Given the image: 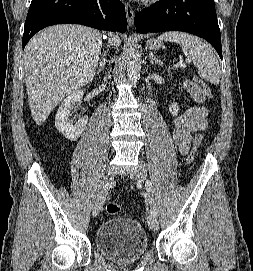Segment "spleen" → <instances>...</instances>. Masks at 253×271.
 I'll use <instances>...</instances> for the list:
<instances>
[{"label": "spleen", "mask_w": 253, "mask_h": 271, "mask_svg": "<svg viewBox=\"0 0 253 271\" xmlns=\"http://www.w3.org/2000/svg\"><path fill=\"white\" fill-rule=\"evenodd\" d=\"M160 40L181 45L183 53L198 69L199 76L213 84L220 81V68L213 50L199 38L179 31H169L160 35Z\"/></svg>", "instance_id": "spleen-1"}]
</instances>
